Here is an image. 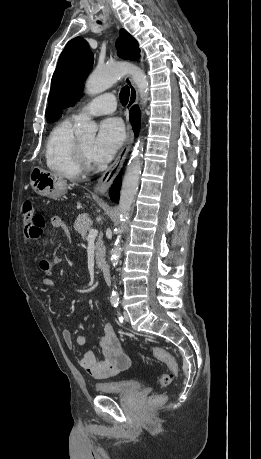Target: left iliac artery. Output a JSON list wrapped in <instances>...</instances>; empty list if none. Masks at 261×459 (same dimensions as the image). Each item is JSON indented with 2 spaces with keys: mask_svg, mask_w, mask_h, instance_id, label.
<instances>
[{
  "mask_svg": "<svg viewBox=\"0 0 261 459\" xmlns=\"http://www.w3.org/2000/svg\"><path fill=\"white\" fill-rule=\"evenodd\" d=\"M119 321L122 323L123 322V317L119 316Z\"/></svg>",
  "mask_w": 261,
  "mask_h": 459,
  "instance_id": "1",
  "label": "left iliac artery"
}]
</instances>
